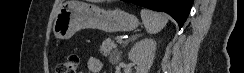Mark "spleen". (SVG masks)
<instances>
[{
    "label": "spleen",
    "mask_w": 244,
    "mask_h": 73,
    "mask_svg": "<svg viewBox=\"0 0 244 73\" xmlns=\"http://www.w3.org/2000/svg\"><path fill=\"white\" fill-rule=\"evenodd\" d=\"M140 14L142 22L149 34H156L160 32L168 23L167 16L161 13L142 9Z\"/></svg>",
    "instance_id": "obj_1"
}]
</instances>
